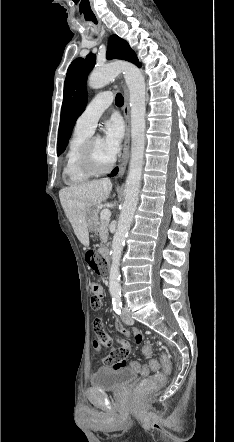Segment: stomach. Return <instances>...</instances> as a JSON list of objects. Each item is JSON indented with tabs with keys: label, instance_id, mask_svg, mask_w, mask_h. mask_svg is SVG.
I'll return each instance as SVG.
<instances>
[{
	"label": "stomach",
	"instance_id": "0dacf381",
	"mask_svg": "<svg viewBox=\"0 0 234 442\" xmlns=\"http://www.w3.org/2000/svg\"><path fill=\"white\" fill-rule=\"evenodd\" d=\"M96 221H97V212L95 209L91 208L88 211L87 217H86L87 228L90 232L96 231V229H97Z\"/></svg>",
	"mask_w": 234,
	"mask_h": 442
}]
</instances>
